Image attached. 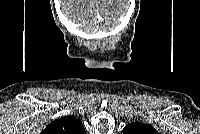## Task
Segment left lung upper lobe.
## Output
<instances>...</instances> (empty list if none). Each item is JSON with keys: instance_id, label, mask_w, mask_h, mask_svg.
Listing matches in <instances>:
<instances>
[{"instance_id": "1", "label": "left lung upper lobe", "mask_w": 200, "mask_h": 134, "mask_svg": "<svg viewBox=\"0 0 200 134\" xmlns=\"http://www.w3.org/2000/svg\"><path fill=\"white\" fill-rule=\"evenodd\" d=\"M124 134H158L150 125L140 122H132L124 128Z\"/></svg>"}]
</instances>
